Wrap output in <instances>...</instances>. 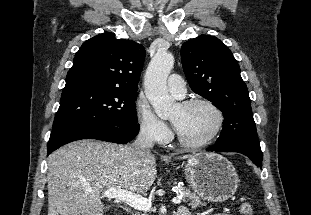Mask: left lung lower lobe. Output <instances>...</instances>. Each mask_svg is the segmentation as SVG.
<instances>
[{
	"mask_svg": "<svg viewBox=\"0 0 311 215\" xmlns=\"http://www.w3.org/2000/svg\"><path fill=\"white\" fill-rule=\"evenodd\" d=\"M207 151L242 153L248 156L257 167H262L263 154L258 141L235 139L210 146Z\"/></svg>",
	"mask_w": 311,
	"mask_h": 215,
	"instance_id": "obj_1",
	"label": "left lung lower lobe"
}]
</instances>
